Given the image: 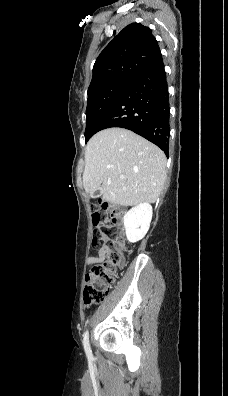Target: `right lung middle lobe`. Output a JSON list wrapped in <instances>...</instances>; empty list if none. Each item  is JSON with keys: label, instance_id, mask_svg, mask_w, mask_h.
I'll return each mask as SVG.
<instances>
[{"label": "right lung middle lobe", "instance_id": "obj_1", "mask_svg": "<svg viewBox=\"0 0 228 396\" xmlns=\"http://www.w3.org/2000/svg\"><path fill=\"white\" fill-rule=\"evenodd\" d=\"M130 83L112 82L88 90L86 142L96 133V125Z\"/></svg>", "mask_w": 228, "mask_h": 396}]
</instances>
